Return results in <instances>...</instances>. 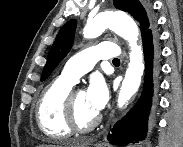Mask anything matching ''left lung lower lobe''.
Segmentation results:
<instances>
[{
    "label": "left lung lower lobe",
    "instance_id": "obj_1",
    "mask_svg": "<svg viewBox=\"0 0 183 147\" xmlns=\"http://www.w3.org/2000/svg\"><path fill=\"white\" fill-rule=\"evenodd\" d=\"M142 42L145 59L144 87L135 107L114 125L112 134L108 137L112 144L118 146H125L145 138L150 111L156 105L155 95L159 86L160 49L155 27L142 36Z\"/></svg>",
    "mask_w": 183,
    "mask_h": 147
}]
</instances>
